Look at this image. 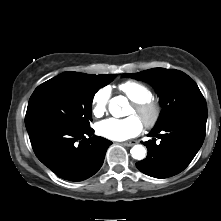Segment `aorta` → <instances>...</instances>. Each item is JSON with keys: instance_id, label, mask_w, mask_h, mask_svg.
<instances>
[{"instance_id": "1", "label": "aorta", "mask_w": 221, "mask_h": 221, "mask_svg": "<svg viewBox=\"0 0 221 221\" xmlns=\"http://www.w3.org/2000/svg\"><path fill=\"white\" fill-rule=\"evenodd\" d=\"M124 98L121 96L114 97L110 100L109 111L113 116L120 115V106H122ZM130 153L134 159L142 160L146 155V150L142 145H134Z\"/></svg>"}]
</instances>
